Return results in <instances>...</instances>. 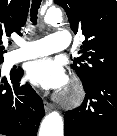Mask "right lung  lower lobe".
<instances>
[{"instance_id": "right-lung-lower-lobe-1", "label": "right lung lower lobe", "mask_w": 117, "mask_h": 136, "mask_svg": "<svg viewBox=\"0 0 117 136\" xmlns=\"http://www.w3.org/2000/svg\"><path fill=\"white\" fill-rule=\"evenodd\" d=\"M23 70L0 79V134L36 136L45 115L42 99L29 84L20 85Z\"/></svg>"}]
</instances>
